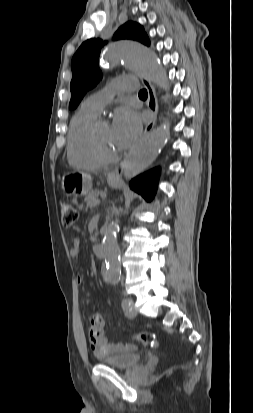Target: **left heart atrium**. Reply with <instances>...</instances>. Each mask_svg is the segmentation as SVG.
Returning a JSON list of instances; mask_svg holds the SVG:
<instances>
[{
	"instance_id": "1",
	"label": "left heart atrium",
	"mask_w": 253,
	"mask_h": 413,
	"mask_svg": "<svg viewBox=\"0 0 253 413\" xmlns=\"http://www.w3.org/2000/svg\"><path fill=\"white\" fill-rule=\"evenodd\" d=\"M114 141L122 149L130 145L141 131V120L138 113L129 108H120L111 126Z\"/></svg>"
}]
</instances>
